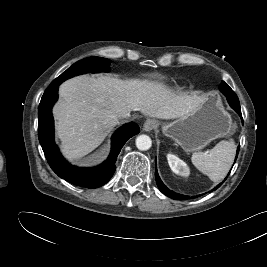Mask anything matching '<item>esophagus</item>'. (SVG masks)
<instances>
[{
  "mask_svg": "<svg viewBox=\"0 0 267 267\" xmlns=\"http://www.w3.org/2000/svg\"><path fill=\"white\" fill-rule=\"evenodd\" d=\"M157 126V121L154 119H148L145 121V123L143 124V130L146 132H150L153 129H155Z\"/></svg>",
  "mask_w": 267,
  "mask_h": 267,
  "instance_id": "34e87169",
  "label": "esophagus"
}]
</instances>
